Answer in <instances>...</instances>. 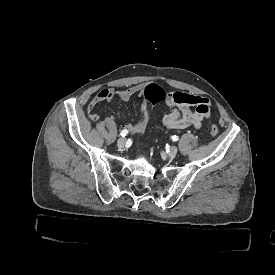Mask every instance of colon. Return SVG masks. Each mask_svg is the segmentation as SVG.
<instances>
[{
  "instance_id": "obj_1",
  "label": "colon",
  "mask_w": 275,
  "mask_h": 275,
  "mask_svg": "<svg viewBox=\"0 0 275 275\" xmlns=\"http://www.w3.org/2000/svg\"><path fill=\"white\" fill-rule=\"evenodd\" d=\"M145 101L142 103V110L144 111L143 125H139V129L133 131L134 133L142 134L145 131V126L150 118V110L154 108L156 99L162 101L165 99L166 94L162 91V86L160 84H149L144 89ZM89 116L92 121L96 120V116L92 113V110L89 109ZM219 129L217 125L212 124L210 127V134L215 137L218 135ZM138 139H141V136H138Z\"/></svg>"
}]
</instances>
